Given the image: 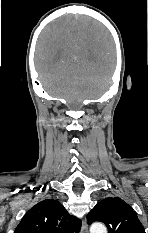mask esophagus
<instances>
[{"instance_id": "obj_1", "label": "esophagus", "mask_w": 148, "mask_h": 233, "mask_svg": "<svg viewBox=\"0 0 148 233\" xmlns=\"http://www.w3.org/2000/svg\"><path fill=\"white\" fill-rule=\"evenodd\" d=\"M81 233H89L88 225H87V222L85 220H83V222H82V231H81Z\"/></svg>"}]
</instances>
